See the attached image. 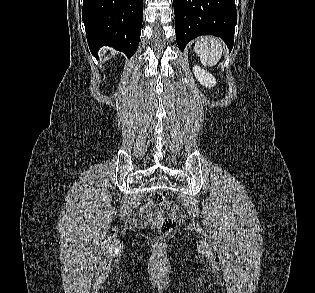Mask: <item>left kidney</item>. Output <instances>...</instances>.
Masks as SVG:
<instances>
[{
	"mask_svg": "<svg viewBox=\"0 0 315 293\" xmlns=\"http://www.w3.org/2000/svg\"><path fill=\"white\" fill-rule=\"evenodd\" d=\"M193 72L196 79L200 82L201 85L211 88L216 84L215 78L206 70L202 69L199 66L193 67Z\"/></svg>",
	"mask_w": 315,
	"mask_h": 293,
	"instance_id": "1",
	"label": "left kidney"
}]
</instances>
